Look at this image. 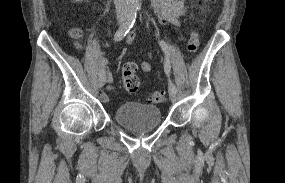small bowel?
<instances>
[{
	"mask_svg": "<svg viewBox=\"0 0 285 183\" xmlns=\"http://www.w3.org/2000/svg\"><path fill=\"white\" fill-rule=\"evenodd\" d=\"M152 7L154 8L156 14L159 17L161 24L169 25L175 29H178L181 25V19L186 16L187 8L185 4V0H150ZM199 14L206 16L207 11L205 9H200ZM134 40V34L131 33L128 38V44H131ZM100 68L104 71L105 80L108 83L113 81V76L108 69V60L104 52H100ZM151 60H153L152 53L149 54ZM139 66L143 72H150L152 69V65L150 62L141 60L139 62ZM113 87L108 86L107 89L111 90ZM103 102L108 101V97L106 94L101 93L100 95Z\"/></svg>",
	"mask_w": 285,
	"mask_h": 183,
	"instance_id": "obj_1",
	"label": "small bowel"
}]
</instances>
